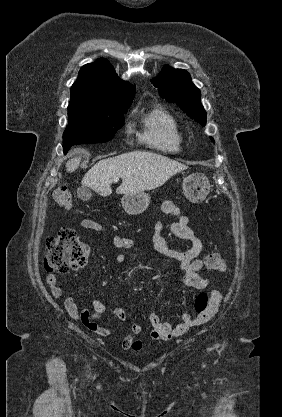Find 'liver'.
<instances>
[{"mask_svg":"<svg viewBox=\"0 0 282 417\" xmlns=\"http://www.w3.org/2000/svg\"><path fill=\"white\" fill-rule=\"evenodd\" d=\"M81 158H71L66 162V170L73 172L78 168ZM188 166L172 160L168 156L156 154V152H144V150H133L124 152L112 158H103L89 168L82 178L83 186L93 188L101 196L111 194V184L114 178H122V182L116 188L117 194H137L143 190H152L162 186L168 178L186 170Z\"/></svg>","mask_w":282,"mask_h":417,"instance_id":"1","label":"liver"}]
</instances>
